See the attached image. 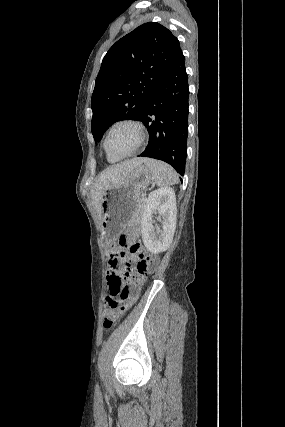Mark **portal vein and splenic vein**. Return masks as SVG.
Wrapping results in <instances>:
<instances>
[{
  "mask_svg": "<svg viewBox=\"0 0 285 427\" xmlns=\"http://www.w3.org/2000/svg\"><path fill=\"white\" fill-rule=\"evenodd\" d=\"M145 199H146L145 197H142V198H141V201H145Z\"/></svg>",
  "mask_w": 285,
  "mask_h": 427,
  "instance_id": "1",
  "label": "portal vein and splenic vein"
}]
</instances>
